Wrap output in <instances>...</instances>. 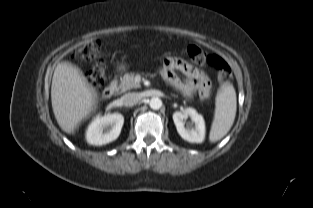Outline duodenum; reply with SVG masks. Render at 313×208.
I'll use <instances>...</instances> for the list:
<instances>
[{
  "mask_svg": "<svg viewBox=\"0 0 313 208\" xmlns=\"http://www.w3.org/2000/svg\"><path fill=\"white\" fill-rule=\"evenodd\" d=\"M117 84L112 82L109 85H107L104 90H103V97L105 99H109L112 97V95L114 94L115 90H116Z\"/></svg>",
  "mask_w": 313,
  "mask_h": 208,
  "instance_id": "410a0bca",
  "label": "duodenum"
}]
</instances>
